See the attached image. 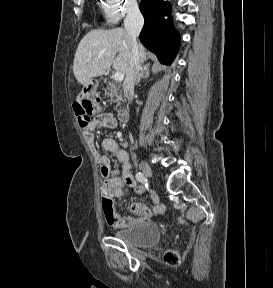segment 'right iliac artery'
I'll return each instance as SVG.
<instances>
[{"mask_svg": "<svg viewBox=\"0 0 273 288\" xmlns=\"http://www.w3.org/2000/svg\"><path fill=\"white\" fill-rule=\"evenodd\" d=\"M136 179H137V181H139V182H144V181L146 180L144 174L141 173V172H138V173L136 174Z\"/></svg>", "mask_w": 273, "mask_h": 288, "instance_id": "1", "label": "right iliac artery"}]
</instances>
